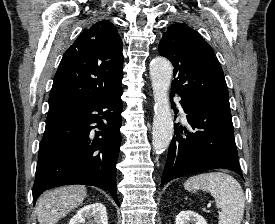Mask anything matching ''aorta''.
Segmentation results:
<instances>
[{"label": "aorta", "instance_id": "aorta-1", "mask_svg": "<svg viewBox=\"0 0 275 224\" xmlns=\"http://www.w3.org/2000/svg\"><path fill=\"white\" fill-rule=\"evenodd\" d=\"M172 74L173 68L167 59L157 57L151 62L150 78L155 101L152 146L157 154L167 149L174 132L173 118L168 97Z\"/></svg>", "mask_w": 275, "mask_h": 224}]
</instances>
